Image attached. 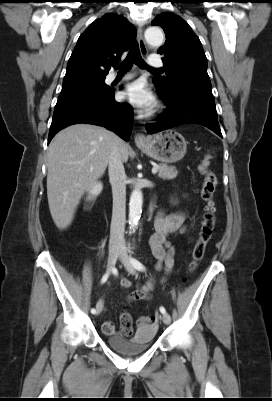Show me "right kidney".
<instances>
[{"mask_svg": "<svg viewBox=\"0 0 272 401\" xmlns=\"http://www.w3.org/2000/svg\"><path fill=\"white\" fill-rule=\"evenodd\" d=\"M103 189V185L101 182H95L91 184V186L88 189V200H93L95 197H97Z\"/></svg>", "mask_w": 272, "mask_h": 401, "instance_id": "obj_1", "label": "right kidney"}]
</instances>
